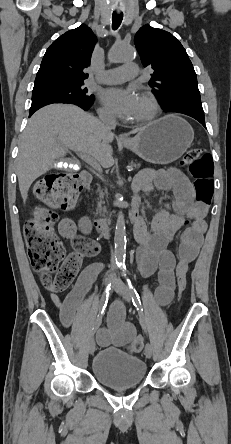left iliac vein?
I'll return each mask as SVG.
<instances>
[{
    "label": "left iliac vein",
    "mask_w": 231,
    "mask_h": 444,
    "mask_svg": "<svg viewBox=\"0 0 231 444\" xmlns=\"http://www.w3.org/2000/svg\"><path fill=\"white\" fill-rule=\"evenodd\" d=\"M113 287L119 294H121L125 298L126 301L128 302L130 301V292L128 288L119 279L114 280ZM144 353L147 358H151L152 346L149 342H147L145 345Z\"/></svg>",
    "instance_id": "obj_1"
}]
</instances>
